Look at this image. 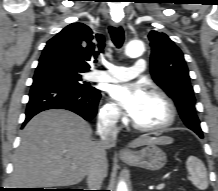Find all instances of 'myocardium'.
<instances>
[{"label":"myocardium","mask_w":218,"mask_h":191,"mask_svg":"<svg viewBox=\"0 0 218 191\" xmlns=\"http://www.w3.org/2000/svg\"><path fill=\"white\" fill-rule=\"evenodd\" d=\"M148 94L152 95V96L159 97L165 102V104L168 107V111H169L168 120L160 126L145 127V126H141V125L137 124L135 122V120L133 119L132 125L135 129L142 131V132L157 133V132L166 131L167 129L172 127L177 120L178 112H177L176 105H175L174 101L171 99V97L167 93H165L164 91H162L160 89H156V88L151 89Z\"/></svg>","instance_id":"obj_1"}]
</instances>
